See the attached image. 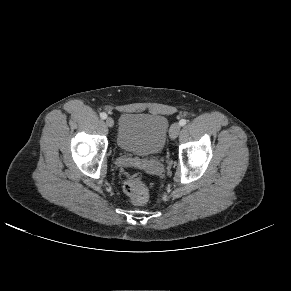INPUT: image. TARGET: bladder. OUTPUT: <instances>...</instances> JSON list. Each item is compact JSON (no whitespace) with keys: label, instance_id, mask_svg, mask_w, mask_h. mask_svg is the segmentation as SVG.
Returning a JSON list of instances; mask_svg holds the SVG:
<instances>
[{"label":"bladder","instance_id":"bladder-1","mask_svg":"<svg viewBox=\"0 0 291 291\" xmlns=\"http://www.w3.org/2000/svg\"><path fill=\"white\" fill-rule=\"evenodd\" d=\"M168 131L169 122L163 115L125 113L119 120L116 143L124 152L153 156L164 148Z\"/></svg>","mask_w":291,"mask_h":291}]
</instances>
